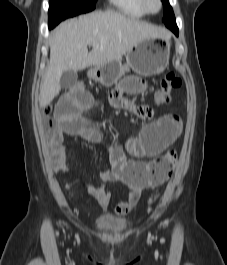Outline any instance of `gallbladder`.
Wrapping results in <instances>:
<instances>
[{
  "mask_svg": "<svg viewBox=\"0 0 227 265\" xmlns=\"http://www.w3.org/2000/svg\"><path fill=\"white\" fill-rule=\"evenodd\" d=\"M78 79V75L76 71L68 70L63 72L61 79H60V85L62 88H69L73 86Z\"/></svg>",
  "mask_w": 227,
  "mask_h": 265,
  "instance_id": "1",
  "label": "gallbladder"
}]
</instances>
